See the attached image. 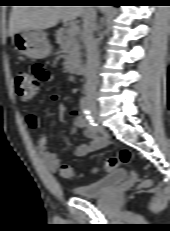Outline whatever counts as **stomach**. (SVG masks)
I'll return each instance as SVG.
<instances>
[{"label": "stomach", "instance_id": "stomach-1", "mask_svg": "<svg viewBox=\"0 0 170 231\" xmlns=\"http://www.w3.org/2000/svg\"><path fill=\"white\" fill-rule=\"evenodd\" d=\"M12 42L20 54L32 59H42L51 53V45L42 30H21L12 36Z\"/></svg>", "mask_w": 170, "mask_h": 231}]
</instances>
